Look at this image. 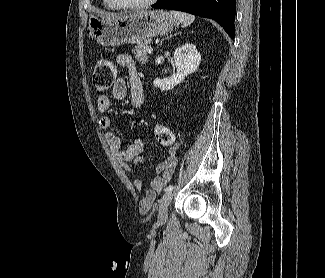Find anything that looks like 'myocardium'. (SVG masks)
<instances>
[{"mask_svg": "<svg viewBox=\"0 0 325 278\" xmlns=\"http://www.w3.org/2000/svg\"><path fill=\"white\" fill-rule=\"evenodd\" d=\"M112 5H114L118 9H125V10H137L143 9L152 6L158 0H146L141 3H123L120 0H109Z\"/></svg>", "mask_w": 325, "mask_h": 278, "instance_id": "obj_1", "label": "myocardium"}]
</instances>
